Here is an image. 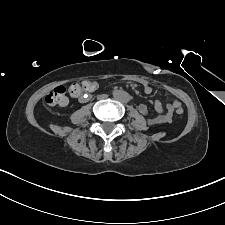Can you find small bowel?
<instances>
[{
    "label": "small bowel",
    "instance_id": "obj_1",
    "mask_svg": "<svg viewBox=\"0 0 225 225\" xmlns=\"http://www.w3.org/2000/svg\"><path fill=\"white\" fill-rule=\"evenodd\" d=\"M94 87L88 93L93 92L98 84L94 82ZM142 87L145 93L149 94L152 92V87L148 82H143ZM87 98V95L80 97L81 101H84ZM181 106V103L178 99H174L171 103H169L166 108L163 107L162 103L159 100L154 101V109L159 113V116L153 119H149L148 122L151 125L158 124V123H170L174 116V111L177 107ZM138 110L141 114L147 115L148 114V107L144 104L139 105Z\"/></svg>",
    "mask_w": 225,
    "mask_h": 225
}]
</instances>
